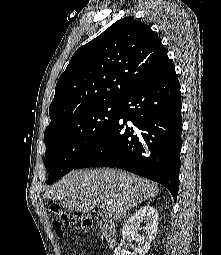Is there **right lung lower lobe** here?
Instances as JSON below:
<instances>
[{"mask_svg": "<svg viewBox=\"0 0 221 255\" xmlns=\"http://www.w3.org/2000/svg\"><path fill=\"white\" fill-rule=\"evenodd\" d=\"M119 104L115 122L74 169H124L164 185L176 200L181 97L179 81L169 58Z\"/></svg>", "mask_w": 221, "mask_h": 255, "instance_id": "right-lung-lower-lobe-1", "label": "right lung lower lobe"}]
</instances>
